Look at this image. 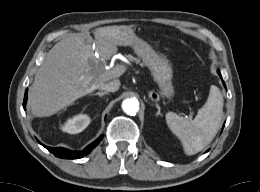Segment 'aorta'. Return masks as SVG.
<instances>
[{
	"instance_id": "1",
	"label": "aorta",
	"mask_w": 260,
	"mask_h": 192,
	"mask_svg": "<svg viewBox=\"0 0 260 192\" xmlns=\"http://www.w3.org/2000/svg\"><path fill=\"white\" fill-rule=\"evenodd\" d=\"M122 109L128 115H135L139 111V102L136 99L129 98L122 102Z\"/></svg>"
}]
</instances>
